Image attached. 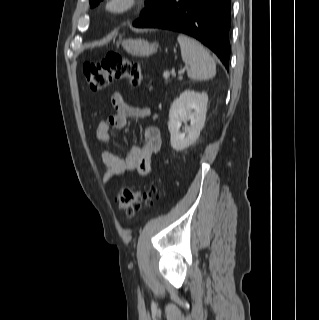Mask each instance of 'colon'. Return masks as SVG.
<instances>
[{
    "label": "colon",
    "mask_w": 319,
    "mask_h": 320,
    "mask_svg": "<svg viewBox=\"0 0 319 320\" xmlns=\"http://www.w3.org/2000/svg\"><path fill=\"white\" fill-rule=\"evenodd\" d=\"M83 70L91 90L104 89L115 79L139 86L143 79L139 64L115 51H109L100 61L86 63ZM157 197L155 186L146 189L123 188L116 196V202L130 220L144 205L152 204Z\"/></svg>",
    "instance_id": "obj_1"
}]
</instances>
